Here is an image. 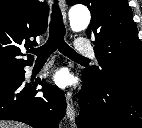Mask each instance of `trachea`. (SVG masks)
Returning <instances> with one entry per match:
<instances>
[{
	"label": "trachea",
	"instance_id": "trachea-1",
	"mask_svg": "<svg viewBox=\"0 0 142 128\" xmlns=\"http://www.w3.org/2000/svg\"><path fill=\"white\" fill-rule=\"evenodd\" d=\"M65 26L62 20L61 10L58 2L53 4V11L51 14L50 33L47 42L39 48H31L30 53H33L37 58H48L57 48L58 50L70 57L88 60V58L78 54L65 41Z\"/></svg>",
	"mask_w": 142,
	"mask_h": 128
}]
</instances>
